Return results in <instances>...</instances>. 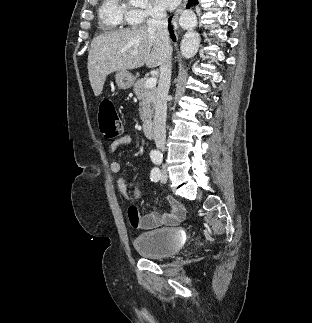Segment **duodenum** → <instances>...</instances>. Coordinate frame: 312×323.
<instances>
[{
  "label": "duodenum",
  "instance_id": "410a0bca",
  "mask_svg": "<svg viewBox=\"0 0 312 323\" xmlns=\"http://www.w3.org/2000/svg\"><path fill=\"white\" fill-rule=\"evenodd\" d=\"M142 128L144 135L147 138L153 139L154 138V132H153V123L151 118H144L142 120Z\"/></svg>",
  "mask_w": 312,
  "mask_h": 323
}]
</instances>
